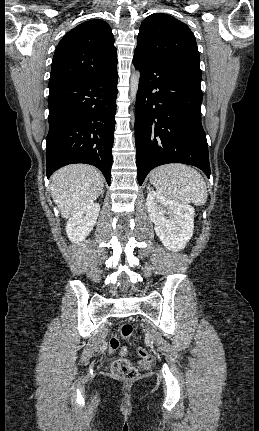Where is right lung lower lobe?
<instances>
[{
    "instance_id": "98d812e1",
    "label": "right lung lower lobe",
    "mask_w": 259,
    "mask_h": 431,
    "mask_svg": "<svg viewBox=\"0 0 259 431\" xmlns=\"http://www.w3.org/2000/svg\"><path fill=\"white\" fill-rule=\"evenodd\" d=\"M117 70L49 87L47 177L72 163L96 166L110 185Z\"/></svg>"
}]
</instances>
